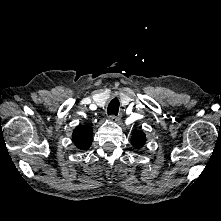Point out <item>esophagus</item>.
Segmentation results:
<instances>
[{"mask_svg": "<svg viewBox=\"0 0 221 221\" xmlns=\"http://www.w3.org/2000/svg\"><path fill=\"white\" fill-rule=\"evenodd\" d=\"M121 116H122L121 113H119L117 116L113 115V116L110 117V121L111 122H117L120 119Z\"/></svg>", "mask_w": 221, "mask_h": 221, "instance_id": "esophagus-1", "label": "esophagus"}]
</instances>
